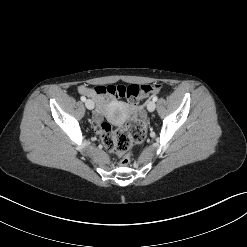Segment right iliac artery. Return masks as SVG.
I'll return each instance as SVG.
<instances>
[{"mask_svg":"<svg viewBox=\"0 0 247 247\" xmlns=\"http://www.w3.org/2000/svg\"><path fill=\"white\" fill-rule=\"evenodd\" d=\"M80 99H81V101H83V102L86 101V98H85L84 96H81Z\"/></svg>","mask_w":247,"mask_h":247,"instance_id":"82829eb1","label":"right iliac artery"}]
</instances>
